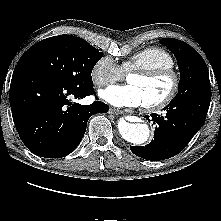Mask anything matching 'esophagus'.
I'll return each mask as SVG.
<instances>
[{"mask_svg":"<svg viewBox=\"0 0 221 221\" xmlns=\"http://www.w3.org/2000/svg\"><path fill=\"white\" fill-rule=\"evenodd\" d=\"M109 113H110V114L118 115V114H123L124 111H123V110H120V109H116V108H110Z\"/></svg>","mask_w":221,"mask_h":221,"instance_id":"esophagus-1","label":"esophagus"}]
</instances>
